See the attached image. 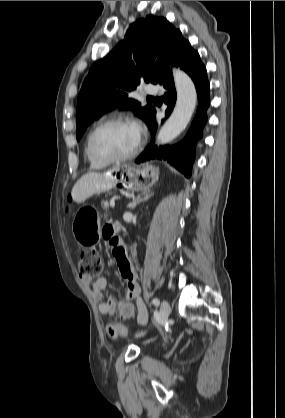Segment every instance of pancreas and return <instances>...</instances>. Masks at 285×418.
Wrapping results in <instances>:
<instances>
[{
	"label": "pancreas",
	"instance_id": "pancreas-1",
	"mask_svg": "<svg viewBox=\"0 0 285 418\" xmlns=\"http://www.w3.org/2000/svg\"><path fill=\"white\" fill-rule=\"evenodd\" d=\"M102 208L104 211H107V209L109 208V204L107 202H102Z\"/></svg>",
	"mask_w": 285,
	"mask_h": 418
}]
</instances>
